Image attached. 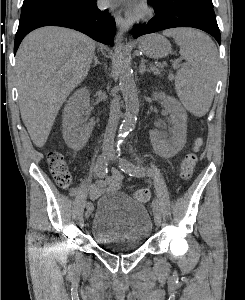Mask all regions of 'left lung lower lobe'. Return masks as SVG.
<instances>
[{"label": "left lung lower lobe", "mask_w": 245, "mask_h": 300, "mask_svg": "<svg viewBox=\"0 0 245 300\" xmlns=\"http://www.w3.org/2000/svg\"><path fill=\"white\" fill-rule=\"evenodd\" d=\"M155 16L144 25H136L134 38L157 31L192 27L212 35L220 44L221 36L213 7L192 0H148Z\"/></svg>", "instance_id": "1"}]
</instances>
